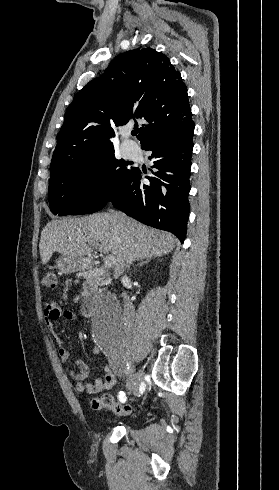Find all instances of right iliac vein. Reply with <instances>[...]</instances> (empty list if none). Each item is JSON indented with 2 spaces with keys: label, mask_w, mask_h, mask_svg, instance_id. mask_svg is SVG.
Returning a JSON list of instances; mask_svg holds the SVG:
<instances>
[{
  "label": "right iliac vein",
  "mask_w": 279,
  "mask_h": 490,
  "mask_svg": "<svg viewBox=\"0 0 279 490\" xmlns=\"http://www.w3.org/2000/svg\"><path fill=\"white\" fill-rule=\"evenodd\" d=\"M121 359L131 364V373L127 379V387L129 389H134L137 377H136L134 365L131 363L130 354L129 353L123 354V357H121Z\"/></svg>",
  "instance_id": "63e3f726"
}]
</instances>
